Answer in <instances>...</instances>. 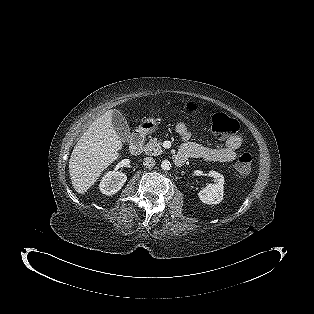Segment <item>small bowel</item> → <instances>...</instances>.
I'll list each match as a JSON object with an SVG mask.
<instances>
[{
  "instance_id": "1",
  "label": "small bowel",
  "mask_w": 314,
  "mask_h": 314,
  "mask_svg": "<svg viewBox=\"0 0 314 314\" xmlns=\"http://www.w3.org/2000/svg\"><path fill=\"white\" fill-rule=\"evenodd\" d=\"M175 132L184 141L178 155H181L185 160L199 159L204 161L229 163L235 159L237 150L243 141L242 136L236 134L228 137L221 144L214 147L203 146L191 141V132L183 122L176 124Z\"/></svg>"
}]
</instances>
